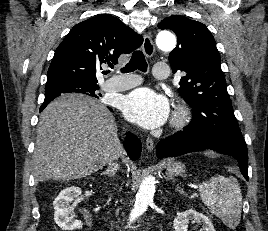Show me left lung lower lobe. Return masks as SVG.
<instances>
[{"label":"left lung lower lobe","mask_w":268,"mask_h":231,"mask_svg":"<svg viewBox=\"0 0 268 231\" xmlns=\"http://www.w3.org/2000/svg\"><path fill=\"white\" fill-rule=\"evenodd\" d=\"M206 148L234 157L239 162L241 173L248 180L247 146L217 136L184 129L162 139L158 143L156 155L158 158L177 157Z\"/></svg>","instance_id":"left-lung-lower-lobe-1"}]
</instances>
